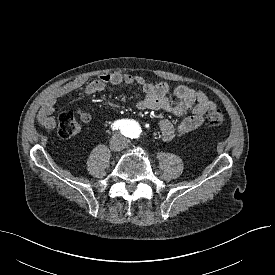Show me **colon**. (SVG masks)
<instances>
[{
	"instance_id": "colon-1",
	"label": "colon",
	"mask_w": 275,
	"mask_h": 275,
	"mask_svg": "<svg viewBox=\"0 0 275 275\" xmlns=\"http://www.w3.org/2000/svg\"><path fill=\"white\" fill-rule=\"evenodd\" d=\"M205 117L210 126H219L225 121V116L219 109L207 111ZM79 131L80 126L71 113H63L59 116L57 132L61 138H72L77 135Z\"/></svg>"
}]
</instances>
